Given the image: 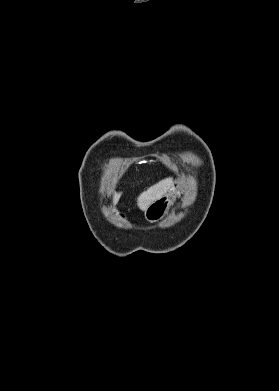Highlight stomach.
<instances>
[{
    "label": "stomach",
    "mask_w": 279,
    "mask_h": 391,
    "mask_svg": "<svg viewBox=\"0 0 279 391\" xmlns=\"http://www.w3.org/2000/svg\"><path fill=\"white\" fill-rule=\"evenodd\" d=\"M180 187V181L176 180L173 182L169 192L162 196L160 199L153 202L144 213L145 219L151 223L158 222L161 220L167 213L172 200L175 198V195L178 193Z\"/></svg>",
    "instance_id": "stomach-1"
}]
</instances>
